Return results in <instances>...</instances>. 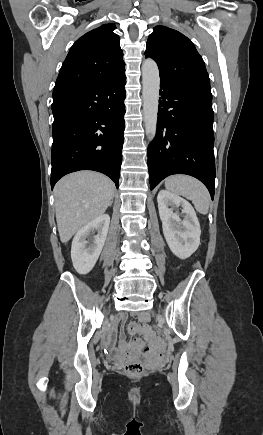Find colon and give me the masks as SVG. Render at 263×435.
Here are the masks:
<instances>
[{
	"mask_svg": "<svg viewBox=\"0 0 263 435\" xmlns=\"http://www.w3.org/2000/svg\"><path fill=\"white\" fill-rule=\"evenodd\" d=\"M153 329L155 332H160V334L162 335V330L160 329V327L158 326V324H153ZM160 341L163 343L162 338L160 339ZM163 349V348H162ZM163 354V352H162ZM152 355V354H151ZM164 355V354H163ZM145 371V367L144 365L139 362V361H131L128 362L125 366H124V372L131 377H139L141 376Z\"/></svg>",
	"mask_w": 263,
	"mask_h": 435,
	"instance_id": "5ec220e1",
	"label": "colon"
}]
</instances>
